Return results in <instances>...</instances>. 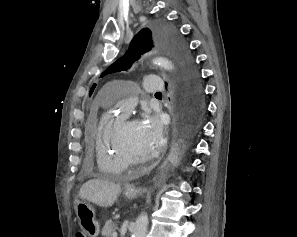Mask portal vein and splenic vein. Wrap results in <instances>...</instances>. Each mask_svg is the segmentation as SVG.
<instances>
[{
    "label": "portal vein and splenic vein",
    "instance_id": "obj_1",
    "mask_svg": "<svg viewBox=\"0 0 297 237\" xmlns=\"http://www.w3.org/2000/svg\"><path fill=\"white\" fill-rule=\"evenodd\" d=\"M112 237H117V233L114 232L113 235H112Z\"/></svg>",
    "mask_w": 297,
    "mask_h": 237
}]
</instances>
